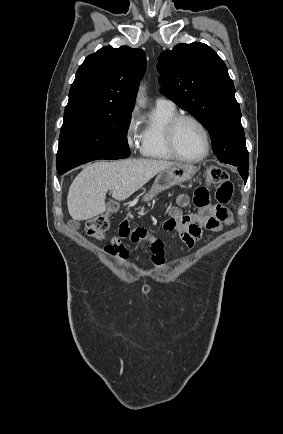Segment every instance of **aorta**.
I'll use <instances>...</instances> for the list:
<instances>
[{"mask_svg":"<svg viewBox=\"0 0 283 434\" xmlns=\"http://www.w3.org/2000/svg\"><path fill=\"white\" fill-rule=\"evenodd\" d=\"M143 89V88H142ZM138 103L140 104V105H143L144 104V101L142 100V99H140L139 101H138Z\"/></svg>","mask_w":283,"mask_h":434,"instance_id":"762f6f07","label":"aorta"}]
</instances>
